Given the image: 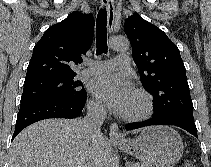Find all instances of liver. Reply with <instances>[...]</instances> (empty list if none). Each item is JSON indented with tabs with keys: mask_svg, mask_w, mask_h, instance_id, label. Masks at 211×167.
Segmentation results:
<instances>
[{
	"mask_svg": "<svg viewBox=\"0 0 211 167\" xmlns=\"http://www.w3.org/2000/svg\"><path fill=\"white\" fill-rule=\"evenodd\" d=\"M110 151L103 135L91 140L83 129V119H46L28 126L14 139L9 167H83L90 160L103 167Z\"/></svg>",
	"mask_w": 211,
	"mask_h": 167,
	"instance_id": "6515ba94",
	"label": "liver"
}]
</instances>
